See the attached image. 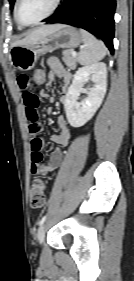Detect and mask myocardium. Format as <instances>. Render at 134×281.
Here are the masks:
<instances>
[{"mask_svg":"<svg viewBox=\"0 0 134 281\" xmlns=\"http://www.w3.org/2000/svg\"><path fill=\"white\" fill-rule=\"evenodd\" d=\"M21 0H16L15 2V6H14V17L16 22L22 26V27H31V26H36L40 23H42L43 21L47 20L48 18H50L60 7L62 0H55L54 4L52 6V8L50 9V11L44 15L42 18H40L39 20L32 22V23H25L20 19L19 16V4H20Z\"/></svg>","mask_w":134,"mask_h":281,"instance_id":"myocardium-1","label":"myocardium"}]
</instances>
